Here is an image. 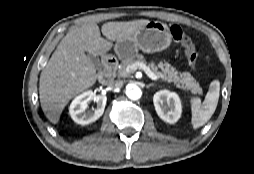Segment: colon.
I'll return each instance as SVG.
<instances>
[{"mask_svg":"<svg viewBox=\"0 0 254 174\" xmlns=\"http://www.w3.org/2000/svg\"><path fill=\"white\" fill-rule=\"evenodd\" d=\"M170 32L174 41L180 43L184 47L190 66L195 67L198 62L199 54L192 39L178 25H173Z\"/></svg>","mask_w":254,"mask_h":174,"instance_id":"obj_1","label":"colon"}]
</instances>
